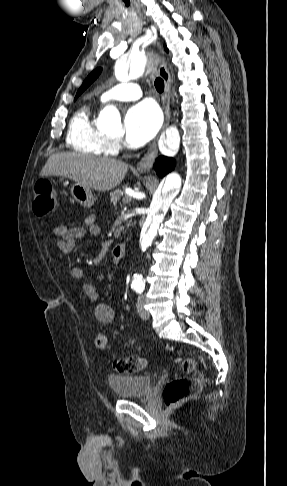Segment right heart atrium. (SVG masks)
<instances>
[{
    "label": "right heart atrium",
    "instance_id": "obj_1",
    "mask_svg": "<svg viewBox=\"0 0 287 486\" xmlns=\"http://www.w3.org/2000/svg\"><path fill=\"white\" fill-rule=\"evenodd\" d=\"M111 146H112V149L115 150L117 148V144L116 143H111Z\"/></svg>",
    "mask_w": 287,
    "mask_h": 486
}]
</instances>
